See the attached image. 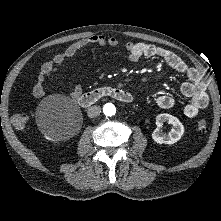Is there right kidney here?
<instances>
[{"mask_svg": "<svg viewBox=\"0 0 221 221\" xmlns=\"http://www.w3.org/2000/svg\"><path fill=\"white\" fill-rule=\"evenodd\" d=\"M46 138H47L48 140H55V139L57 138V136H56L54 133L49 132V133L46 135Z\"/></svg>", "mask_w": 221, "mask_h": 221, "instance_id": "ca27d5eb", "label": "right kidney"}]
</instances>
